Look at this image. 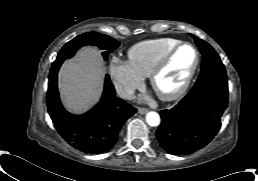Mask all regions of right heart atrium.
I'll return each instance as SVG.
<instances>
[{
  "label": "right heart atrium",
  "instance_id": "obj_1",
  "mask_svg": "<svg viewBox=\"0 0 258 181\" xmlns=\"http://www.w3.org/2000/svg\"><path fill=\"white\" fill-rule=\"evenodd\" d=\"M109 74L117 93L129 98L143 83V77L137 74L128 62L113 58L109 63Z\"/></svg>",
  "mask_w": 258,
  "mask_h": 181
}]
</instances>
